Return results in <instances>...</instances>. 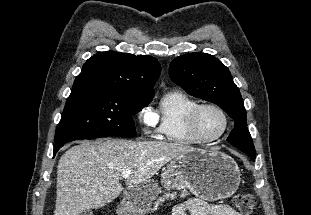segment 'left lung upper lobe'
I'll use <instances>...</instances> for the list:
<instances>
[{
    "instance_id": "obj_1",
    "label": "left lung upper lobe",
    "mask_w": 311,
    "mask_h": 215,
    "mask_svg": "<svg viewBox=\"0 0 311 215\" xmlns=\"http://www.w3.org/2000/svg\"><path fill=\"white\" fill-rule=\"evenodd\" d=\"M169 74L171 80L190 95L215 103L226 111L235 121L227 141L255 159L243 99L226 66L212 55L190 53L175 58Z\"/></svg>"
}]
</instances>
